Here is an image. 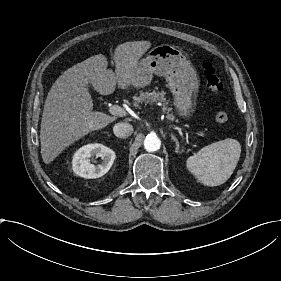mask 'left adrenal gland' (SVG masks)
<instances>
[{
	"instance_id": "1",
	"label": "left adrenal gland",
	"mask_w": 281,
	"mask_h": 281,
	"mask_svg": "<svg viewBox=\"0 0 281 281\" xmlns=\"http://www.w3.org/2000/svg\"><path fill=\"white\" fill-rule=\"evenodd\" d=\"M171 138L174 139V141H175V150H176V152L180 153V148L181 147H180V143H179L176 135L174 133H171Z\"/></svg>"
}]
</instances>
